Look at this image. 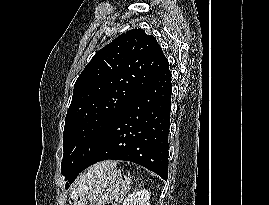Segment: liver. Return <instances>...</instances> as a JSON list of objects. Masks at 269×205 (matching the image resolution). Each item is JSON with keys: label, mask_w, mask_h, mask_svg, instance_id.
<instances>
[{"label": "liver", "mask_w": 269, "mask_h": 205, "mask_svg": "<svg viewBox=\"0 0 269 205\" xmlns=\"http://www.w3.org/2000/svg\"><path fill=\"white\" fill-rule=\"evenodd\" d=\"M115 166L116 162L104 161L90 167L87 172H84L78 177L75 184L72 186L71 198H76L77 196L85 194L98 176L109 169H114Z\"/></svg>", "instance_id": "obj_1"}]
</instances>
